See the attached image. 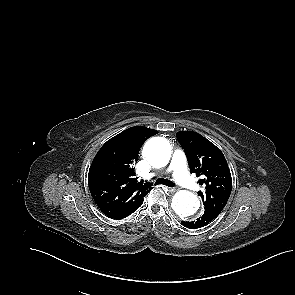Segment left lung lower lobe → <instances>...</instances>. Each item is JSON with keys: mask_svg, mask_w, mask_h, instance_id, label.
Instances as JSON below:
<instances>
[{"mask_svg": "<svg viewBox=\"0 0 295 295\" xmlns=\"http://www.w3.org/2000/svg\"><path fill=\"white\" fill-rule=\"evenodd\" d=\"M221 210L208 208L205 209L204 214L202 217L198 218L196 221H182V225L189 228V229H196L209 224L212 220H214L219 214Z\"/></svg>", "mask_w": 295, "mask_h": 295, "instance_id": "left-lung-lower-lobe-1", "label": "left lung lower lobe"}]
</instances>
